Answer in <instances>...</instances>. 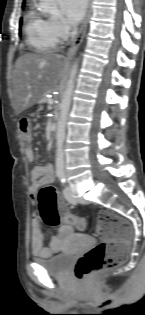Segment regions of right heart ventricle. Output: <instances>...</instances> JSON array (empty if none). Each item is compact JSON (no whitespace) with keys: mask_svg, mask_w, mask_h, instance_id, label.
Here are the masks:
<instances>
[{"mask_svg":"<svg viewBox=\"0 0 145 315\" xmlns=\"http://www.w3.org/2000/svg\"><path fill=\"white\" fill-rule=\"evenodd\" d=\"M24 30L26 42L35 52H48L58 43V39L50 28L49 19L35 7H32L26 15Z\"/></svg>","mask_w":145,"mask_h":315,"instance_id":"right-heart-ventricle-1","label":"right heart ventricle"}]
</instances>
